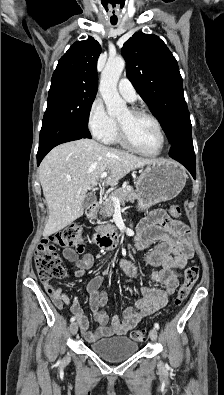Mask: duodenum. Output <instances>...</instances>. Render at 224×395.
<instances>
[{
	"label": "duodenum",
	"mask_w": 224,
	"mask_h": 395,
	"mask_svg": "<svg viewBox=\"0 0 224 395\" xmlns=\"http://www.w3.org/2000/svg\"><path fill=\"white\" fill-rule=\"evenodd\" d=\"M98 206V201H95L87 211V215L92 217ZM94 243L103 250H111L120 247L123 244L122 236L119 230L114 226H107L105 230L97 232L92 237Z\"/></svg>",
	"instance_id": "obj_1"
}]
</instances>
